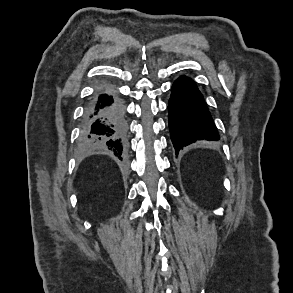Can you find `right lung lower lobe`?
<instances>
[{"instance_id": "obj_1", "label": "right lung lower lobe", "mask_w": 293, "mask_h": 293, "mask_svg": "<svg viewBox=\"0 0 293 293\" xmlns=\"http://www.w3.org/2000/svg\"><path fill=\"white\" fill-rule=\"evenodd\" d=\"M126 136L127 123L122 103L111 89L101 90L85 109L82 141L89 146L107 148L121 158L126 149Z\"/></svg>"}]
</instances>
